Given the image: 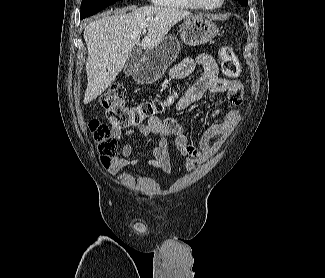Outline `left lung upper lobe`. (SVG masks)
<instances>
[{
  "label": "left lung upper lobe",
  "mask_w": 325,
  "mask_h": 278,
  "mask_svg": "<svg viewBox=\"0 0 325 278\" xmlns=\"http://www.w3.org/2000/svg\"><path fill=\"white\" fill-rule=\"evenodd\" d=\"M236 1H238L240 4L245 6L248 4L247 0H236Z\"/></svg>",
  "instance_id": "left-lung-upper-lobe-1"
}]
</instances>
